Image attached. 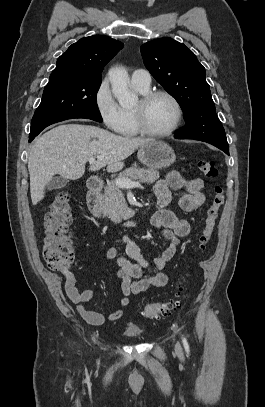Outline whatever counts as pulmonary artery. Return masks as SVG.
<instances>
[{
	"label": "pulmonary artery",
	"instance_id": "1",
	"mask_svg": "<svg viewBox=\"0 0 265 407\" xmlns=\"http://www.w3.org/2000/svg\"><path fill=\"white\" fill-rule=\"evenodd\" d=\"M131 83L133 86L149 89L151 85V75L147 70L137 69L131 75Z\"/></svg>",
	"mask_w": 265,
	"mask_h": 407
}]
</instances>
